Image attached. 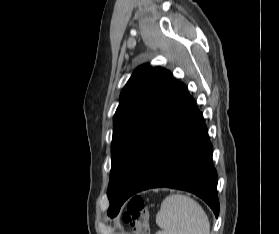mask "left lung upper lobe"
<instances>
[{"instance_id": "obj_1", "label": "left lung upper lobe", "mask_w": 279, "mask_h": 234, "mask_svg": "<svg viewBox=\"0 0 279 234\" xmlns=\"http://www.w3.org/2000/svg\"><path fill=\"white\" fill-rule=\"evenodd\" d=\"M172 80L168 70L145 64L133 72L121 92L113 118L112 166L107 193L111 218L123 204L120 195L135 155Z\"/></svg>"}]
</instances>
